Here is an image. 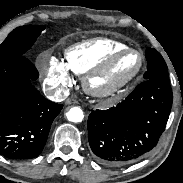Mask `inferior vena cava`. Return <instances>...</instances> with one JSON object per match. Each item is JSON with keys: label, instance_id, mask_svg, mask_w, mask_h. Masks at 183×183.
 <instances>
[{"label": "inferior vena cava", "instance_id": "obj_1", "mask_svg": "<svg viewBox=\"0 0 183 183\" xmlns=\"http://www.w3.org/2000/svg\"><path fill=\"white\" fill-rule=\"evenodd\" d=\"M44 94L49 98L51 101L54 102H61L64 101L69 95L68 88H46L44 89Z\"/></svg>", "mask_w": 183, "mask_h": 183}]
</instances>
